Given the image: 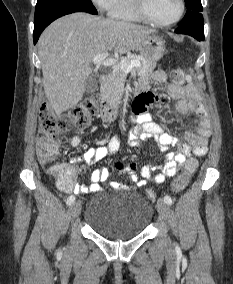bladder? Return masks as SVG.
<instances>
[{
    "mask_svg": "<svg viewBox=\"0 0 233 284\" xmlns=\"http://www.w3.org/2000/svg\"><path fill=\"white\" fill-rule=\"evenodd\" d=\"M152 218L150 201L139 192L129 191L118 197H92L85 211L84 222L104 238L126 240L142 234Z\"/></svg>",
    "mask_w": 233,
    "mask_h": 284,
    "instance_id": "1",
    "label": "bladder"
}]
</instances>
